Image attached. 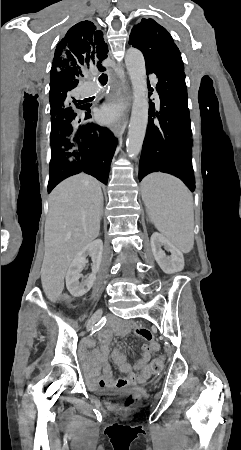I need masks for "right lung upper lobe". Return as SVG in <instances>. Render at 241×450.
<instances>
[{
	"mask_svg": "<svg viewBox=\"0 0 241 450\" xmlns=\"http://www.w3.org/2000/svg\"><path fill=\"white\" fill-rule=\"evenodd\" d=\"M108 45L103 33L90 21L71 27L56 47L51 73L49 100L70 96L83 72L93 69L105 71L102 63L107 58Z\"/></svg>",
	"mask_w": 241,
	"mask_h": 450,
	"instance_id": "right-lung-upper-lobe-1",
	"label": "right lung upper lobe"
}]
</instances>
